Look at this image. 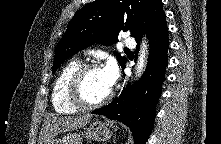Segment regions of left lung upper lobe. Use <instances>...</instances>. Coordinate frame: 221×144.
Wrapping results in <instances>:
<instances>
[{
  "label": "left lung upper lobe",
  "mask_w": 221,
  "mask_h": 144,
  "mask_svg": "<svg viewBox=\"0 0 221 144\" xmlns=\"http://www.w3.org/2000/svg\"><path fill=\"white\" fill-rule=\"evenodd\" d=\"M165 15L161 0H97L87 4L74 15L60 40L52 73L70 56L91 44H113L121 30L141 40ZM123 67L127 59L115 54Z\"/></svg>",
  "instance_id": "obj_1"
}]
</instances>
